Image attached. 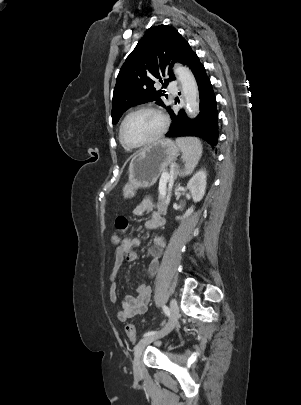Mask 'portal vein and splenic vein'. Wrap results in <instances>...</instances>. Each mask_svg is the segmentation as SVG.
Here are the masks:
<instances>
[{
  "label": "portal vein and splenic vein",
  "instance_id": "portal-vein-and-splenic-vein-1",
  "mask_svg": "<svg viewBox=\"0 0 301 405\" xmlns=\"http://www.w3.org/2000/svg\"><path fill=\"white\" fill-rule=\"evenodd\" d=\"M170 179H171V176H170L169 173H167V172H163V173H162V175H161V181H162L163 183L166 184ZM160 194H161V195H165V194H166V188H163L162 190H160Z\"/></svg>",
  "mask_w": 301,
  "mask_h": 405
}]
</instances>
